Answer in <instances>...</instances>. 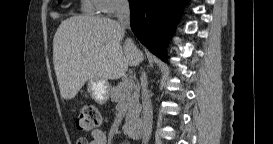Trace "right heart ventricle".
Segmentation results:
<instances>
[{
  "label": "right heart ventricle",
  "mask_w": 273,
  "mask_h": 144,
  "mask_svg": "<svg viewBox=\"0 0 273 144\" xmlns=\"http://www.w3.org/2000/svg\"><path fill=\"white\" fill-rule=\"evenodd\" d=\"M82 8L86 14H93L97 10L95 0H85Z\"/></svg>",
  "instance_id": "obj_1"
}]
</instances>
